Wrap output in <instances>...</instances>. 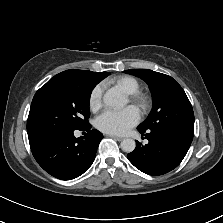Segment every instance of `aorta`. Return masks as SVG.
<instances>
[{
    "label": "aorta",
    "mask_w": 223,
    "mask_h": 223,
    "mask_svg": "<svg viewBox=\"0 0 223 223\" xmlns=\"http://www.w3.org/2000/svg\"><path fill=\"white\" fill-rule=\"evenodd\" d=\"M103 103L109 107L123 108L126 105V98L117 89L111 88L103 95ZM120 146L124 152L131 153L134 151L136 143L133 139L128 138L122 140Z\"/></svg>",
    "instance_id": "aorta-1"
}]
</instances>
